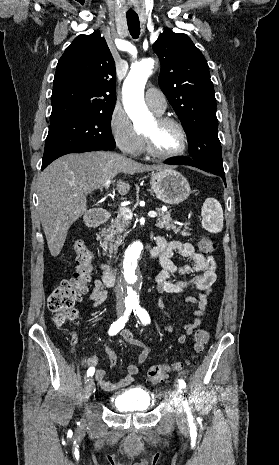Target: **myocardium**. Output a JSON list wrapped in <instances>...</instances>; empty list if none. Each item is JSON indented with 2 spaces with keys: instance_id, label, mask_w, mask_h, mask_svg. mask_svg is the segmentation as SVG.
<instances>
[{
  "instance_id": "1",
  "label": "myocardium",
  "mask_w": 279,
  "mask_h": 465,
  "mask_svg": "<svg viewBox=\"0 0 279 465\" xmlns=\"http://www.w3.org/2000/svg\"><path fill=\"white\" fill-rule=\"evenodd\" d=\"M156 122L160 126L168 125V124L176 126L180 133L181 144H180V147L174 152L162 153V152H159L155 148L152 137L144 133L143 140H144L145 150L147 151V153L154 158L163 159V160L173 159V158H177L183 155L188 146V135H187L184 125L179 120L173 117H169V116H159L156 118Z\"/></svg>"
}]
</instances>
